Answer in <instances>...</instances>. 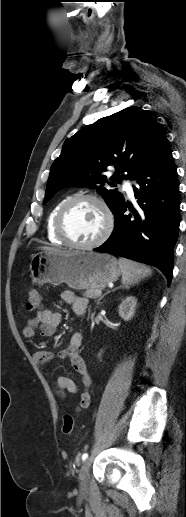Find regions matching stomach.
Listing matches in <instances>:
<instances>
[{
	"instance_id": "obj_1",
	"label": "stomach",
	"mask_w": 186,
	"mask_h": 517,
	"mask_svg": "<svg viewBox=\"0 0 186 517\" xmlns=\"http://www.w3.org/2000/svg\"><path fill=\"white\" fill-rule=\"evenodd\" d=\"M30 271L35 284L65 283L75 290L103 288L116 281L122 273L113 256L88 251L34 254Z\"/></svg>"
}]
</instances>
